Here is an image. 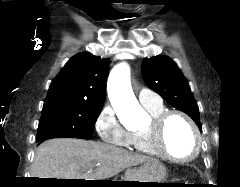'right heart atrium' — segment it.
<instances>
[{
    "label": "right heart atrium",
    "instance_id": "1",
    "mask_svg": "<svg viewBox=\"0 0 240 187\" xmlns=\"http://www.w3.org/2000/svg\"><path fill=\"white\" fill-rule=\"evenodd\" d=\"M95 129L100 139L111 145L128 147L130 133L121 125L114 109L105 106L95 120Z\"/></svg>",
    "mask_w": 240,
    "mask_h": 187
}]
</instances>
